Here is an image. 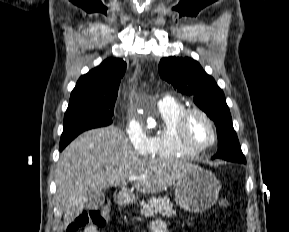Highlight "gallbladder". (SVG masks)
Returning <instances> with one entry per match:
<instances>
[{
	"mask_svg": "<svg viewBox=\"0 0 289 232\" xmlns=\"http://www.w3.org/2000/svg\"><path fill=\"white\" fill-rule=\"evenodd\" d=\"M105 201V195L103 191H96L91 189L87 194L86 209L95 210L100 208Z\"/></svg>",
	"mask_w": 289,
	"mask_h": 232,
	"instance_id": "gallbladder-1",
	"label": "gallbladder"
}]
</instances>
